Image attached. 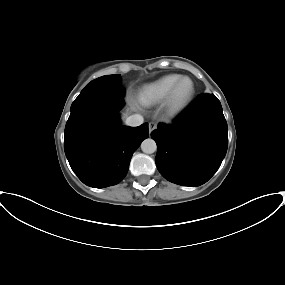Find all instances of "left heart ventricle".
I'll return each instance as SVG.
<instances>
[{"mask_svg": "<svg viewBox=\"0 0 285 285\" xmlns=\"http://www.w3.org/2000/svg\"><path fill=\"white\" fill-rule=\"evenodd\" d=\"M190 90H191V82L188 80L183 81L178 90L177 94L178 100L185 99L190 93Z\"/></svg>", "mask_w": 285, "mask_h": 285, "instance_id": "left-heart-ventricle-1", "label": "left heart ventricle"}]
</instances>
